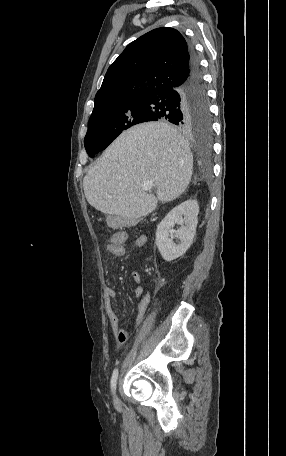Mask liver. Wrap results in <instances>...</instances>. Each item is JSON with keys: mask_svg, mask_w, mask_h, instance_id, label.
Masks as SVG:
<instances>
[{"mask_svg": "<svg viewBox=\"0 0 286 456\" xmlns=\"http://www.w3.org/2000/svg\"><path fill=\"white\" fill-rule=\"evenodd\" d=\"M193 169L188 142L166 122H147L124 131L89 169L83 180L88 203L127 220L153 212L158 200L184 193ZM152 181L157 197L142 189Z\"/></svg>", "mask_w": 286, "mask_h": 456, "instance_id": "6515ba94", "label": "liver"}]
</instances>
